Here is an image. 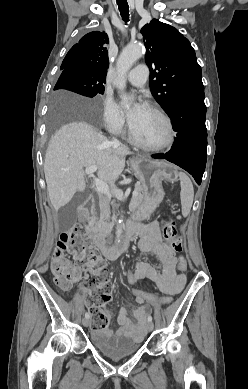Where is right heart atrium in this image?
Returning a JSON list of instances; mask_svg holds the SVG:
<instances>
[{
  "label": "right heart atrium",
  "instance_id": "1",
  "mask_svg": "<svg viewBox=\"0 0 248 389\" xmlns=\"http://www.w3.org/2000/svg\"><path fill=\"white\" fill-rule=\"evenodd\" d=\"M103 122L105 128L113 134H122L125 130V118L111 95L103 99Z\"/></svg>",
  "mask_w": 248,
  "mask_h": 389
}]
</instances>
